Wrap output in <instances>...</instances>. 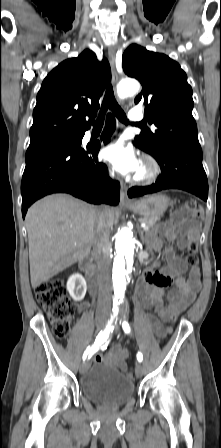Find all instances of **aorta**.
I'll return each mask as SVG.
<instances>
[{"label":"aorta","instance_id":"obj_1","mask_svg":"<svg viewBox=\"0 0 221 448\" xmlns=\"http://www.w3.org/2000/svg\"><path fill=\"white\" fill-rule=\"evenodd\" d=\"M140 88L136 80L122 81L117 88L118 95L126 98L134 95ZM116 255L113 263L114 312H118L121 299L124 297L127 281L132 272L135 259V239L131 229L124 227L115 236Z\"/></svg>","mask_w":221,"mask_h":448}]
</instances>
